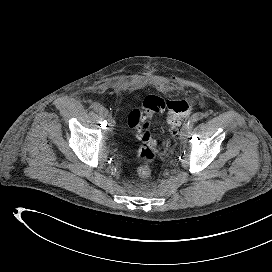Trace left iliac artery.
<instances>
[{"instance_id": "44dca946", "label": "left iliac artery", "mask_w": 272, "mask_h": 272, "mask_svg": "<svg viewBox=\"0 0 272 272\" xmlns=\"http://www.w3.org/2000/svg\"><path fill=\"white\" fill-rule=\"evenodd\" d=\"M204 115L201 113L194 114L191 119L188 121L187 125L192 126L194 122L203 119Z\"/></svg>"}]
</instances>
